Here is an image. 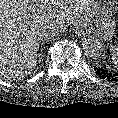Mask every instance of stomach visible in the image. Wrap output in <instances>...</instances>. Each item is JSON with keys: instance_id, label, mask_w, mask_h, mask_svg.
Returning <instances> with one entry per match:
<instances>
[{"instance_id": "0dacf381", "label": "stomach", "mask_w": 118, "mask_h": 118, "mask_svg": "<svg viewBox=\"0 0 118 118\" xmlns=\"http://www.w3.org/2000/svg\"><path fill=\"white\" fill-rule=\"evenodd\" d=\"M115 31V23L110 17H104L97 24V32L101 34L104 40L112 38Z\"/></svg>"}]
</instances>
